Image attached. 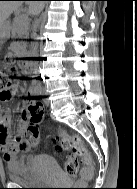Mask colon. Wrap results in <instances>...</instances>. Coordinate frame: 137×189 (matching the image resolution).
<instances>
[{
	"mask_svg": "<svg viewBox=\"0 0 137 189\" xmlns=\"http://www.w3.org/2000/svg\"><path fill=\"white\" fill-rule=\"evenodd\" d=\"M13 68H0V99L8 100L13 95ZM28 123L21 136L22 143L27 147H36L40 142L39 124L44 115V106L40 102L31 103L24 108ZM57 149L70 151L71 155L64 164V172L67 176L74 177L78 172L80 163L85 165L82 173L84 180H89L94 175V167L90 155L78 136L68 135L63 130L56 131Z\"/></svg>",
	"mask_w": 137,
	"mask_h": 189,
	"instance_id": "5ec220e1",
	"label": "colon"
}]
</instances>
